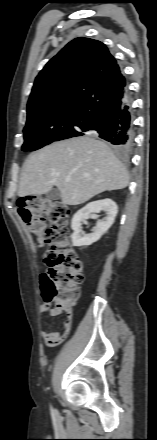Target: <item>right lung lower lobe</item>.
Segmentation results:
<instances>
[{"instance_id": "right-lung-lower-lobe-1", "label": "right lung lower lobe", "mask_w": 157, "mask_h": 440, "mask_svg": "<svg viewBox=\"0 0 157 440\" xmlns=\"http://www.w3.org/2000/svg\"><path fill=\"white\" fill-rule=\"evenodd\" d=\"M83 131H96L99 137L127 151L133 143L132 110L128 94L117 106L94 116L83 125Z\"/></svg>"}]
</instances>
